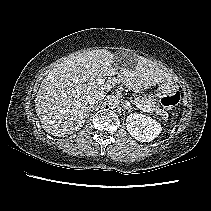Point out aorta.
I'll use <instances>...</instances> for the list:
<instances>
[{
  "mask_svg": "<svg viewBox=\"0 0 211 211\" xmlns=\"http://www.w3.org/2000/svg\"><path fill=\"white\" fill-rule=\"evenodd\" d=\"M119 103H120L119 99L115 96H112L108 101V106L111 109H115L119 106Z\"/></svg>",
  "mask_w": 211,
  "mask_h": 211,
  "instance_id": "762f6f07",
  "label": "aorta"
}]
</instances>
